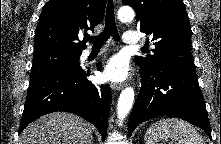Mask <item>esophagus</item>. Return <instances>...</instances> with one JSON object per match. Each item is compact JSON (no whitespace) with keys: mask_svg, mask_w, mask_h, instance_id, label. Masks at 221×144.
I'll return each mask as SVG.
<instances>
[{"mask_svg":"<svg viewBox=\"0 0 221 144\" xmlns=\"http://www.w3.org/2000/svg\"><path fill=\"white\" fill-rule=\"evenodd\" d=\"M119 0H114V2L117 4ZM123 84L121 83H111V88L114 90V91H119L123 88Z\"/></svg>","mask_w":221,"mask_h":144,"instance_id":"34e87169","label":"esophagus"}]
</instances>
